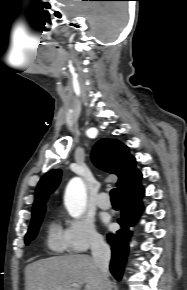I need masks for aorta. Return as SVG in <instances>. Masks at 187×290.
<instances>
[{
	"label": "aorta",
	"mask_w": 187,
	"mask_h": 290,
	"mask_svg": "<svg viewBox=\"0 0 187 290\" xmlns=\"http://www.w3.org/2000/svg\"><path fill=\"white\" fill-rule=\"evenodd\" d=\"M87 203V193L81 178L75 177L68 183L64 204L70 216L77 218L85 211Z\"/></svg>",
	"instance_id": "762f6f07"
}]
</instances>
